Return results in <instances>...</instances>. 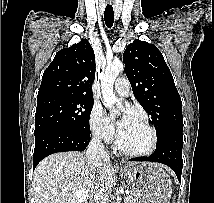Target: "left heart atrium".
<instances>
[{
  "label": "left heart atrium",
  "instance_id": "1",
  "mask_svg": "<svg viewBox=\"0 0 214 203\" xmlns=\"http://www.w3.org/2000/svg\"><path fill=\"white\" fill-rule=\"evenodd\" d=\"M135 120L134 113L131 110H127L124 116L117 122L119 130L123 129L128 123Z\"/></svg>",
  "mask_w": 214,
  "mask_h": 203
}]
</instances>
